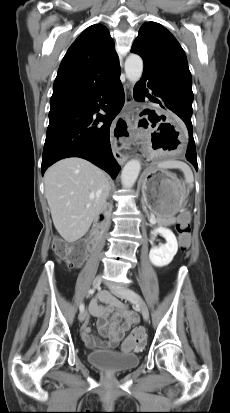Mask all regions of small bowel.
I'll use <instances>...</instances> for the list:
<instances>
[{
  "label": "small bowel",
  "instance_id": "small-bowel-1",
  "mask_svg": "<svg viewBox=\"0 0 230 413\" xmlns=\"http://www.w3.org/2000/svg\"><path fill=\"white\" fill-rule=\"evenodd\" d=\"M98 301L107 305H101ZM92 316L98 318V331L107 341H101L91 335V328L86 322L82 329V340L89 348L114 349L122 341L126 332L138 322V316L133 311L126 308L119 300L114 298L109 292L101 291L97 298L92 300L89 306ZM124 321L120 324V319ZM132 344L128 339L123 341L121 352L129 353Z\"/></svg>",
  "mask_w": 230,
  "mask_h": 413
}]
</instances>
